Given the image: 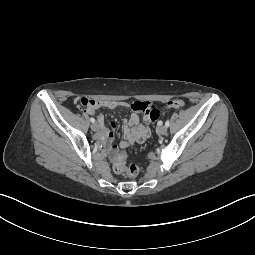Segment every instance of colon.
<instances>
[{"label": "colon", "instance_id": "1", "mask_svg": "<svg viewBox=\"0 0 255 255\" xmlns=\"http://www.w3.org/2000/svg\"><path fill=\"white\" fill-rule=\"evenodd\" d=\"M81 103L88 107V106H95L97 101L90 98H82ZM169 108H182L185 106V102L181 99H174L168 101L165 105ZM127 155L124 150L114 151V162H113V169L117 174H122L130 178H134L138 175L139 169L136 165H127L126 163Z\"/></svg>", "mask_w": 255, "mask_h": 255}]
</instances>
